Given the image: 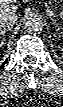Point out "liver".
Returning a JSON list of instances; mask_svg holds the SVG:
<instances>
[{"instance_id":"liver-1","label":"liver","mask_w":63,"mask_h":107,"mask_svg":"<svg viewBox=\"0 0 63 107\" xmlns=\"http://www.w3.org/2000/svg\"><path fill=\"white\" fill-rule=\"evenodd\" d=\"M1 10H10L17 13L18 7L13 4V1L10 0H1L0 1V12Z\"/></svg>"}]
</instances>
